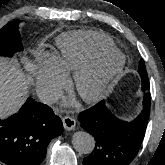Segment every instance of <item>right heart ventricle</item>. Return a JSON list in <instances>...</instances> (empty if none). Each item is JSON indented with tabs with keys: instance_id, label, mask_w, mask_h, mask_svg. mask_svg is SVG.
Wrapping results in <instances>:
<instances>
[{
	"instance_id": "e07e8e85",
	"label": "right heart ventricle",
	"mask_w": 165,
	"mask_h": 165,
	"mask_svg": "<svg viewBox=\"0 0 165 165\" xmlns=\"http://www.w3.org/2000/svg\"><path fill=\"white\" fill-rule=\"evenodd\" d=\"M54 60L65 72H75L95 54L116 49L114 41L99 31L81 30L61 35Z\"/></svg>"
}]
</instances>
